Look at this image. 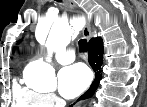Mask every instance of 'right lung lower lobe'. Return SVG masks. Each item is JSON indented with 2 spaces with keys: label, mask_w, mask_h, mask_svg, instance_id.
I'll use <instances>...</instances> for the list:
<instances>
[{
  "label": "right lung lower lobe",
  "mask_w": 147,
  "mask_h": 107,
  "mask_svg": "<svg viewBox=\"0 0 147 107\" xmlns=\"http://www.w3.org/2000/svg\"><path fill=\"white\" fill-rule=\"evenodd\" d=\"M103 51H104L103 41L100 37L92 38L89 41L88 61L95 72V79L92 82L90 88L79 98V100L90 98L94 94V92L96 91L99 85V81L102 76L101 67L103 64Z\"/></svg>",
  "instance_id": "right-lung-lower-lobe-1"
}]
</instances>
